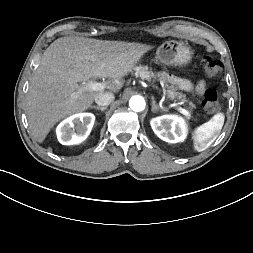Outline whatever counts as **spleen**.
Returning a JSON list of instances; mask_svg holds the SVG:
<instances>
[{
  "mask_svg": "<svg viewBox=\"0 0 253 253\" xmlns=\"http://www.w3.org/2000/svg\"><path fill=\"white\" fill-rule=\"evenodd\" d=\"M225 116L223 113H217L208 122L197 127L193 134L194 150L201 152L209 147L212 140L219 135Z\"/></svg>",
  "mask_w": 253,
  "mask_h": 253,
  "instance_id": "1",
  "label": "spleen"
}]
</instances>
